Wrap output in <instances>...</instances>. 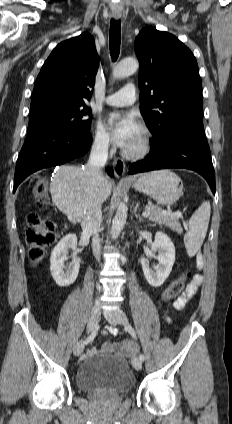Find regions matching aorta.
<instances>
[{"label":"aorta","mask_w":232,"mask_h":424,"mask_svg":"<svg viewBox=\"0 0 232 424\" xmlns=\"http://www.w3.org/2000/svg\"><path fill=\"white\" fill-rule=\"evenodd\" d=\"M139 64L134 58H126L119 62L113 69V79H121L134 74ZM128 208L124 202H121L116 210V214L112 220L111 236L116 239L126 223Z\"/></svg>","instance_id":"aorta-1"}]
</instances>
